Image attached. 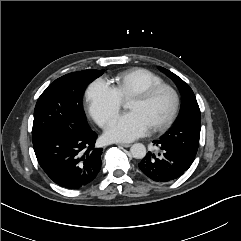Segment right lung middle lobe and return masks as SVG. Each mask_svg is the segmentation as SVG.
<instances>
[{
    "label": "right lung middle lobe",
    "instance_id": "1",
    "mask_svg": "<svg viewBox=\"0 0 241 241\" xmlns=\"http://www.w3.org/2000/svg\"><path fill=\"white\" fill-rule=\"evenodd\" d=\"M102 70H84L56 79L40 95L34 110L32 142L69 128L80 130L89 125L82 106L85 87L101 76Z\"/></svg>",
    "mask_w": 241,
    "mask_h": 241
}]
</instances>
